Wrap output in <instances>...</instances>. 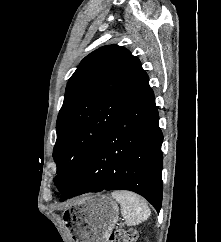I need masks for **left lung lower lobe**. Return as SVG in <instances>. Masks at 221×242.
<instances>
[{"label": "left lung lower lobe", "instance_id": "obj_1", "mask_svg": "<svg viewBox=\"0 0 221 242\" xmlns=\"http://www.w3.org/2000/svg\"><path fill=\"white\" fill-rule=\"evenodd\" d=\"M159 115L149 88L99 138L79 179L61 196L124 189L146 198L159 212L162 204Z\"/></svg>", "mask_w": 221, "mask_h": 242}]
</instances>
